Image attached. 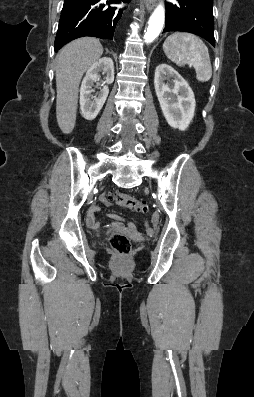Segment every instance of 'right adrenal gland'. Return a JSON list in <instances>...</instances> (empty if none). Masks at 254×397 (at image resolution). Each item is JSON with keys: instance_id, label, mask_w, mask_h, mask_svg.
Listing matches in <instances>:
<instances>
[{"instance_id": "right-adrenal-gland-1", "label": "right adrenal gland", "mask_w": 254, "mask_h": 397, "mask_svg": "<svg viewBox=\"0 0 254 397\" xmlns=\"http://www.w3.org/2000/svg\"><path fill=\"white\" fill-rule=\"evenodd\" d=\"M109 53V51L106 49V54H108Z\"/></svg>"}]
</instances>
